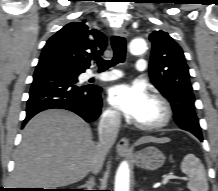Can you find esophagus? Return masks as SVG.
Listing matches in <instances>:
<instances>
[{"instance_id":"34e87169","label":"esophagus","mask_w":218,"mask_h":191,"mask_svg":"<svg viewBox=\"0 0 218 191\" xmlns=\"http://www.w3.org/2000/svg\"><path fill=\"white\" fill-rule=\"evenodd\" d=\"M116 34L122 37H128L129 33L124 27H120L116 30ZM117 153L121 156L130 154V144L128 138H122L116 147Z\"/></svg>"}]
</instances>
